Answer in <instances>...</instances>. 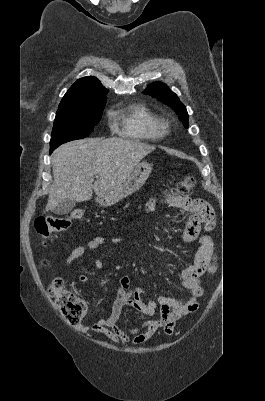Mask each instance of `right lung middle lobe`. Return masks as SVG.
I'll use <instances>...</instances> for the list:
<instances>
[{
  "mask_svg": "<svg viewBox=\"0 0 265 401\" xmlns=\"http://www.w3.org/2000/svg\"><path fill=\"white\" fill-rule=\"evenodd\" d=\"M106 99L81 101L59 106L50 141V149L87 137L100 121Z\"/></svg>",
  "mask_w": 265,
  "mask_h": 401,
  "instance_id": "dd1d6c3e",
  "label": "right lung middle lobe"
}]
</instances>
